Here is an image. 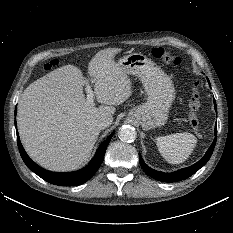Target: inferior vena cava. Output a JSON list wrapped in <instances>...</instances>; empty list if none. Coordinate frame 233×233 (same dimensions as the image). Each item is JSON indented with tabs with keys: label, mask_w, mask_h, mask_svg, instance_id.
<instances>
[{
	"label": "inferior vena cava",
	"mask_w": 233,
	"mask_h": 233,
	"mask_svg": "<svg viewBox=\"0 0 233 233\" xmlns=\"http://www.w3.org/2000/svg\"><path fill=\"white\" fill-rule=\"evenodd\" d=\"M112 117L102 116L96 121V125L99 129H105L111 125Z\"/></svg>",
	"instance_id": "602c4592"
}]
</instances>
